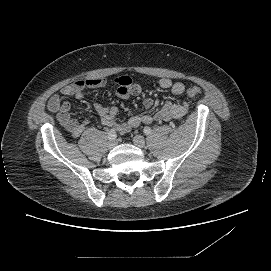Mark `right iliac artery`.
<instances>
[{"instance_id":"82829eb1","label":"right iliac artery","mask_w":271,"mask_h":271,"mask_svg":"<svg viewBox=\"0 0 271 271\" xmlns=\"http://www.w3.org/2000/svg\"><path fill=\"white\" fill-rule=\"evenodd\" d=\"M116 137H117V134H116L115 129H111V130L108 132V139H109V140H114V139H116Z\"/></svg>"}]
</instances>
